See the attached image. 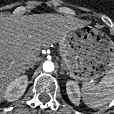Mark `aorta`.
Returning <instances> with one entry per match:
<instances>
[{
    "label": "aorta",
    "mask_w": 114,
    "mask_h": 114,
    "mask_svg": "<svg viewBox=\"0 0 114 114\" xmlns=\"http://www.w3.org/2000/svg\"><path fill=\"white\" fill-rule=\"evenodd\" d=\"M54 63L53 62H51V61H45L44 63H43V70L45 71V72H52L53 70H54Z\"/></svg>",
    "instance_id": "aorta-1"
}]
</instances>
